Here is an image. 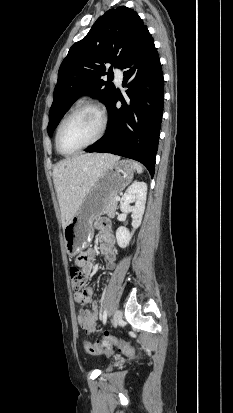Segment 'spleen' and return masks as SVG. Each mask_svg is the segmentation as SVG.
<instances>
[{
    "label": "spleen",
    "mask_w": 233,
    "mask_h": 413,
    "mask_svg": "<svg viewBox=\"0 0 233 413\" xmlns=\"http://www.w3.org/2000/svg\"><path fill=\"white\" fill-rule=\"evenodd\" d=\"M133 166H134V168L136 169L137 173L140 174V173L143 172V167H142L139 163L133 162Z\"/></svg>",
    "instance_id": "obj_1"
}]
</instances>
